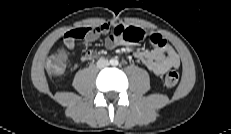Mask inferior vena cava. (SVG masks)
<instances>
[{
    "instance_id": "602c4592",
    "label": "inferior vena cava",
    "mask_w": 231,
    "mask_h": 134,
    "mask_svg": "<svg viewBox=\"0 0 231 134\" xmlns=\"http://www.w3.org/2000/svg\"><path fill=\"white\" fill-rule=\"evenodd\" d=\"M108 65H109V62L105 58H100L97 61V67L100 68V69L106 68Z\"/></svg>"
}]
</instances>
